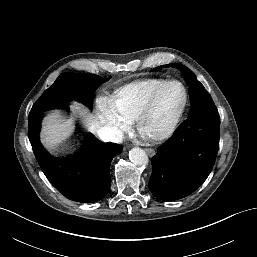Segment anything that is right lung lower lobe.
<instances>
[{"label":"right lung lower lobe","mask_w":257,"mask_h":257,"mask_svg":"<svg viewBox=\"0 0 257 257\" xmlns=\"http://www.w3.org/2000/svg\"><path fill=\"white\" fill-rule=\"evenodd\" d=\"M37 125L29 126V140L35 157L49 182L66 198L82 203L102 199L110 189V163L122 151L113 143L103 144L94 136L86 149L71 157L49 154L38 138Z\"/></svg>","instance_id":"98d812e1"}]
</instances>
